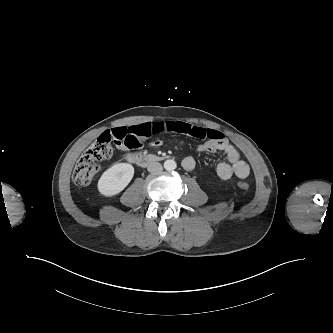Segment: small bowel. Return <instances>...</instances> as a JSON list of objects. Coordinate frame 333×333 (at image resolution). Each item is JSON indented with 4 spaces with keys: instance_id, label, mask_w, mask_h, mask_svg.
I'll list each match as a JSON object with an SVG mask.
<instances>
[{
    "instance_id": "1",
    "label": "small bowel",
    "mask_w": 333,
    "mask_h": 333,
    "mask_svg": "<svg viewBox=\"0 0 333 333\" xmlns=\"http://www.w3.org/2000/svg\"><path fill=\"white\" fill-rule=\"evenodd\" d=\"M164 133H179L205 139V142L197 145L198 152H222L226 161L217 166V174L222 180H229L233 176L246 178L250 173V167L241 159L238 149L230 144L221 132L185 122H147L130 127H117L102 133L99 138L113 142L119 150L126 152L139 149L146 139ZM161 144L160 139H155L150 143V146L158 147ZM195 164V159L192 156H186L182 161V165L187 171L193 170Z\"/></svg>"
}]
</instances>
